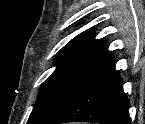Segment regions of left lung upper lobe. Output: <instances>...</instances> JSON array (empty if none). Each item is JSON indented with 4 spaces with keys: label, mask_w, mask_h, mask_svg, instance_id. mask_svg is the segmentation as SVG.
Listing matches in <instances>:
<instances>
[{
    "label": "left lung upper lobe",
    "mask_w": 145,
    "mask_h": 124,
    "mask_svg": "<svg viewBox=\"0 0 145 124\" xmlns=\"http://www.w3.org/2000/svg\"><path fill=\"white\" fill-rule=\"evenodd\" d=\"M106 47L86 30L65 45L57 56V68L42 84L27 124L50 119L92 76L110 60Z\"/></svg>",
    "instance_id": "1"
}]
</instances>
